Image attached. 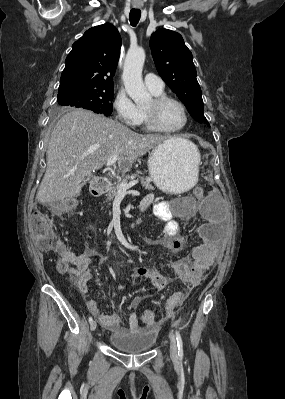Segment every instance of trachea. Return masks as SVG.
<instances>
[{
	"label": "trachea",
	"instance_id": "trachea-1",
	"mask_svg": "<svg viewBox=\"0 0 285 399\" xmlns=\"http://www.w3.org/2000/svg\"><path fill=\"white\" fill-rule=\"evenodd\" d=\"M141 11L139 9H131L129 21L132 26H136L140 20Z\"/></svg>",
	"mask_w": 285,
	"mask_h": 399
}]
</instances>
